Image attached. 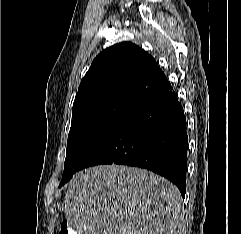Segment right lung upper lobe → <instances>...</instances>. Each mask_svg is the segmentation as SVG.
Returning <instances> with one entry per match:
<instances>
[{"label": "right lung upper lobe", "mask_w": 241, "mask_h": 234, "mask_svg": "<svg viewBox=\"0 0 241 234\" xmlns=\"http://www.w3.org/2000/svg\"><path fill=\"white\" fill-rule=\"evenodd\" d=\"M167 81L155 59L133 43L101 52L81 81L73 111L110 101L137 104Z\"/></svg>", "instance_id": "right-lung-upper-lobe-1"}]
</instances>
